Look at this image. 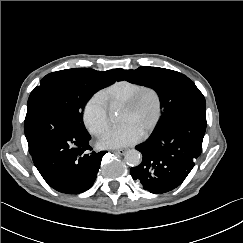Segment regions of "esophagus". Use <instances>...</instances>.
<instances>
[{
	"instance_id": "1",
	"label": "esophagus",
	"mask_w": 243,
	"mask_h": 243,
	"mask_svg": "<svg viewBox=\"0 0 243 243\" xmlns=\"http://www.w3.org/2000/svg\"><path fill=\"white\" fill-rule=\"evenodd\" d=\"M114 152L117 153V154H120V155H124L126 153V150L125 149H118V150H115Z\"/></svg>"
}]
</instances>
